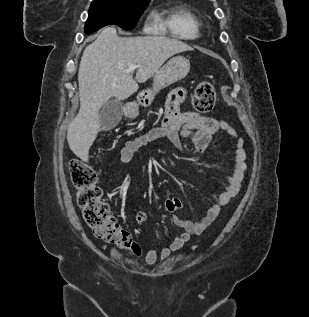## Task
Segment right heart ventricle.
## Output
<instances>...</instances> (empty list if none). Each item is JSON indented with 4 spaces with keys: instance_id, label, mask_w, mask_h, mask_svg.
Returning <instances> with one entry per match:
<instances>
[{
    "instance_id": "right-heart-ventricle-1",
    "label": "right heart ventricle",
    "mask_w": 309,
    "mask_h": 317,
    "mask_svg": "<svg viewBox=\"0 0 309 317\" xmlns=\"http://www.w3.org/2000/svg\"><path fill=\"white\" fill-rule=\"evenodd\" d=\"M164 25L176 36L194 39L200 33V21L189 9L181 7L173 11Z\"/></svg>"
}]
</instances>
